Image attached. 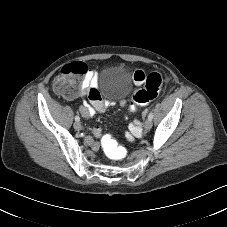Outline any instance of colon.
Segmentation results:
<instances>
[{
	"label": "colon",
	"instance_id": "colon-1",
	"mask_svg": "<svg viewBox=\"0 0 227 227\" xmlns=\"http://www.w3.org/2000/svg\"><path fill=\"white\" fill-rule=\"evenodd\" d=\"M81 74H83L81 64L71 63L66 65L54 81L55 90L63 96L73 97L77 93L79 87L78 79ZM133 80H143V85L131 96V109H135L136 106L146 105L155 99L164 84L165 77L158 72L150 73L144 77L141 71H137L133 73ZM89 98L91 101L96 102L99 99L98 90H91ZM102 147L106 156L111 160H119L126 153V149L118 147L109 136L102 139Z\"/></svg>",
	"mask_w": 227,
	"mask_h": 227
}]
</instances>
